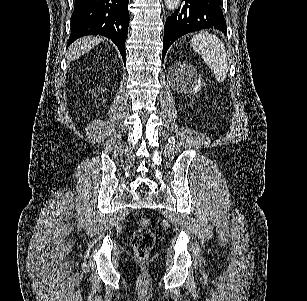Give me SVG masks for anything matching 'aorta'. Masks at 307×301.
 Segmentation results:
<instances>
[{
    "instance_id": "762f6f07",
    "label": "aorta",
    "mask_w": 307,
    "mask_h": 301,
    "mask_svg": "<svg viewBox=\"0 0 307 301\" xmlns=\"http://www.w3.org/2000/svg\"><path fill=\"white\" fill-rule=\"evenodd\" d=\"M181 0H165V6L168 8V10H175V8H178Z\"/></svg>"
}]
</instances>
